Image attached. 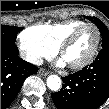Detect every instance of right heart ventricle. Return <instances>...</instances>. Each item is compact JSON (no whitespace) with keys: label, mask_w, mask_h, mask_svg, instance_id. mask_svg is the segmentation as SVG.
<instances>
[{"label":"right heart ventricle","mask_w":109,"mask_h":109,"mask_svg":"<svg viewBox=\"0 0 109 109\" xmlns=\"http://www.w3.org/2000/svg\"><path fill=\"white\" fill-rule=\"evenodd\" d=\"M86 22L79 19H73L63 22H57L52 24H43L39 26L31 27L32 29L42 31L48 37V39L56 46L64 41V39L77 27L85 24Z\"/></svg>","instance_id":"right-heart-ventricle-1"}]
</instances>
